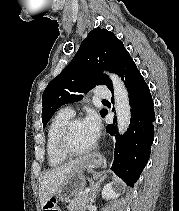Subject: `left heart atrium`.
Here are the masks:
<instances>
[{"label":"left heart atrium","mask_w":179,"mask_h":211,"mask_svg":"<svg viewBox=\"0 0 179 211\" xmlns=\"http://www.w3.org/2000/svg\"><path fill=\"white\" fill-rule=\"evenodd\" d=\"M83 122L91 138L96 141L100 136L102 127L99 116L96 113L91 112Z\"/></svg>","instance_id":"obj_1"}]
</instances>
